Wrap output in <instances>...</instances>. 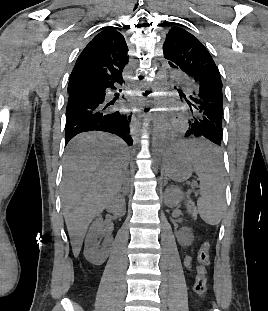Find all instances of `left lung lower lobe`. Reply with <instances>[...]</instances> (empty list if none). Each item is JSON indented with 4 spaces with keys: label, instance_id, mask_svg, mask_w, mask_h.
<instances>
[{
    "label": "left lung lower lobe",
    "instance_id": "0a47b994",
    "mask_svg": "<svg viewBox=\"0 0 268 311\" xmlns=\"http://www.w3.org/2000/svg\"><path fill=\"white\" fill-rule=\"evenodd\" d=\"M191 113L178 132V141L207 140L220 147L223 141V94L216 82L203 81L192 86Z\"/></svg>",
    "mask_w": 268,
    "mask_h": 311
}]
</instances>
